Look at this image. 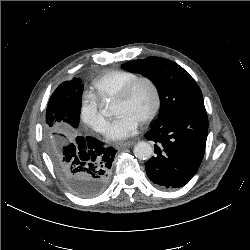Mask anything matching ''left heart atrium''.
Wrapping results in <instances>:
<instances>
[{
  "instance_id": "obj_1",
  "label": "left heart atrium",
  "mask_w": 250,
  "mask_h": 250,
  "mask_svg": "<svg viewBox=\"0 0 250 250\" xmlns=\"http://www.w3.org/2000/svg\"><path fill=\"white\" fill-rule=\"evenodd\" d=\"M140 126V120L131 114L119 115L108 127L106 136L110 140H122L133 136Z\"/></svg>"
}]
</instances>
